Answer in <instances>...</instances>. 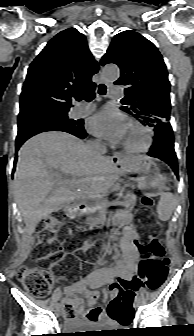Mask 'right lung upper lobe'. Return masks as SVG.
Wrapping results in <instances>:
<instances>
[{"label": "right lung upper lobe", "mask_w": 194, "mask_h": 336, "mask_svg": "<svg viewBox=\"0 0 194 336\" xmlns=\"http://www.w3.org/2000/svg\"><path fill=\"white\" fill-rule=\"evenodd\" d=\"M98 64L85 36L69 28L52 38L30 64L20 99L22 116L40 109H67L71 97L95 88Z\"/></svg>", "instance_id": "right-lung-upper-lobe-1"}]
</instances>
